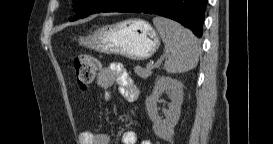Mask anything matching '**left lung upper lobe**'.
<instances>
[{
  "label": "left lung upper lobe",
  "instance_id": "obj_1",
  "mask_svg": "<svg viewBox=\"0 0 273 144\" xmlns=\"http://www.w3.org/2000/svg\"><path fill=\"white\" fill-rule=\"evenodd\" d=\"M102 1L103 0H74L76 16L70 18V20H77L91 15L101 6Z\"/></svg>",
  "mask_w": 273,
  "mask_h": 144
}]
</instances>
